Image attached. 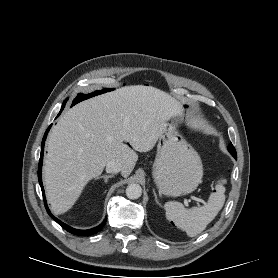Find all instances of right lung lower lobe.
<instances>
[{"label":"right lung lower lobe","mask_w":278,"mask_h":278,"mask_svg":"<svg viewBox=\"0 0 278 278\" xmlns=\"http://www.w3.org/2000/svg\"><path fill=\"white\" fill-rule=\"evenodd\" d=\"M65 103H63L62 105V108L58 114V116L60 115V113L62 112L64 106H65ZM57 116V117H58ZM51 127V126H50ZM50 127L46 130L45 132V135L43 137V141H42V144H41V155H40V160H39V166H38V179H39V183H40V186H41V189H42V193H43V197H44V203H45V207H46V210L48 212V214L58 223L60 224L65 230H67L68 232L70 233H73V234H76V235H81V236H90V235H93L95 233H97L104 225H105V222H106V219L97 227L95 228H92V229H89V230H78V229H74L68 225H66L65 223H63L62 221L58 220L56 217H54L51 212L49 211L48 207H47V203H46V199H45V195H44V189H43V185H42V179H41V167H42V161H43V151H44V142H45V139L47 137V134H48V131L50 129Z\"/></svg>","instance_id":"98d812e1"}]
</instances>
